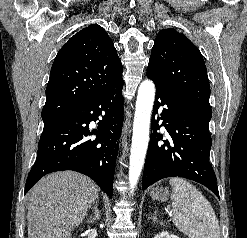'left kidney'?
<instances>
[{
  "label": "left kidney",
  "mask_w": 247,
  "mask_h": 238,
  "mask_svg": "<svg viewBox=\"0 0 247 238\" xmlns=\"http://www.w3.org/2000/svg\"><path fill=\"white\" fill-rule=\"evenodd\" d=\"M154 238H179L176 235H170L168 232H161L157 234Z\"/></svg>",
  "instance_id": "left-kidney-1"
}]
</instances>
